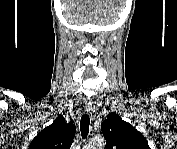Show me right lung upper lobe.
<instances>
[{
  "label": "right lung upper lobe",
  "instance_id": "1",
  "mask_svg": "<svg viewBox=\"0 0 177 149\" xmlns=\"http://www.w3.org/2000/svg\"><path fill=\"white\" fill-rule=\"evenodd\" d=\"M75 134L73 123H66L59 115L32 140L29 149H69Z\"/></svg>",
  "mask_w": 177,
  "mask_h": 149
}]
</instances>
